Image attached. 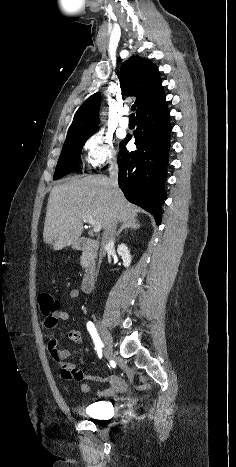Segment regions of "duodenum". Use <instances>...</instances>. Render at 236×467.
<instances>
[{"instance_id": "obj_1", "label": "duodenum", "mask_w": 236, "mask_h": 467, "mask_svg": "<svg viewBox=\"0 0 236 467\" xmlns=\"http://www.w3.org/2000/svg\"><path fill=\"white\" fill-rule=\"evenodd\" d=\"M73 246L75 249L86 251L88 254L89 261L86 264L85 271L81 279V290L84 293H90L95 281V267L91 259L98 249L99 244L95 240L79 238L73 242Z\"/></svg>"}]
</instances>
